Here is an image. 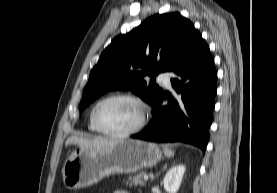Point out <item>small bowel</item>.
<instances>
[{
	"label": "small bowel",
	"instance_id": "1",
	"mask_svg": "<svg viewBox=\"0 0 277 193\" xmlns=\"http://www.w3.org/2000/svg\"><path fill=\"white\" fill-rule=\"evenodd\" d=\"M113 193H129L128 191L126 190H116L115 192Z\"/></svg>",
	"mask_w": 277,
	"mask_h": 193
}]
</instances>
